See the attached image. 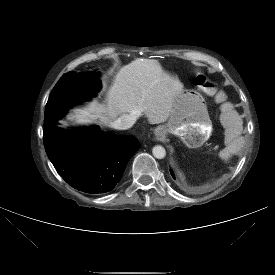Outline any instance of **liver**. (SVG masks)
<instances>
[{
  "instance_id": "6515ba94",
  "label": "liver",
  "mask_w": 275,
  "mask_h": 275,
  "mask_svg": "<svg viewBox=\"0 0 275 275\" xmlns=\"http://www.w3.org/2000/svg\"><path fill=\"white\" fill-rule=\"evenodd\" d=\"M181 89L178 81L154 59H137L123 66L107 93V104L97 101L72 116L80 124H111L119 115H145L149 123L168 120L173 96Z\"/></svg>"
}]
</instances>
